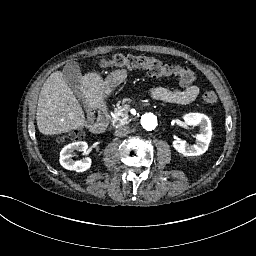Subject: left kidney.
Masks as SVG:
<instances>
[{
  "mask_svg": "<svg viewBox=\"0 0 256 256\" xmlns=\"http://www.w3.org/2000/svg\"><path fill=\"white\" fill-rule=\"evenodd\" d=\"M183 119L189 126H199L200 133L195 136V144H188L185 140L178 139L173 141V147L184 156H198L205 153L212 137L211 120L201 113H188Z\"/></svg>",
  "mask_w": 256,
  "mask_h": 256,
  "instance_id": "left-kidney-1",
  "label": "left kidney"
}]
</instances>
